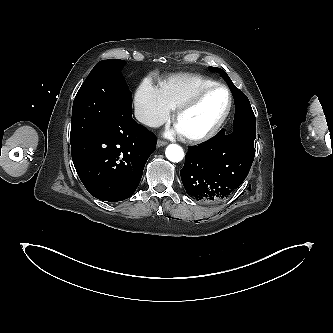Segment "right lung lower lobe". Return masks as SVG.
Returning a JSON list of instances; mask_svg holds the SVG:
<instances>
[{"instance_id":"1","label":"right lung lower lobe","mask_w":333,"mask_h":333,"mask_svg":"<svg viewBox=\"0 0 333 333\" xmlns=\"http://www.w3.org/2000/svg\"><path fill=\"white\" fill-rule=\"evenodd\" d=\"M123 102L113 117L85 139L71 144L72 160L88 192L103 201H122L137 189L156 140Z\"/></svg>"}]
</instances>
